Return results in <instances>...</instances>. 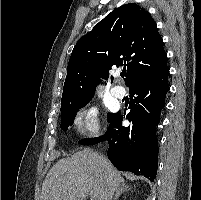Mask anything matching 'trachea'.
<instances>
[{
	"mask_svg": "<svg viewBox=\"0 0 201 200\" xmlns=\"http://www.w3.org/2000/svg\"><path fill=\"white\" fill-rule=\"evenodd\" d=\"M121 76L124 78L125 74H121Z\"/></svg>",
	"mask_w": 201,
	"mask_h": 200,
	"instance_id": "1",
	"label": "trachea"
}]
</instances>
